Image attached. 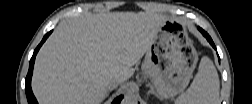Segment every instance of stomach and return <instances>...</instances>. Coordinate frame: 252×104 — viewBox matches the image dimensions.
I'll use <instances>...</instances> for the list:
<instances>
[{
    "instance_id": "obj_1",
    "label": "stomach",
    "mask_w": 252,
    "mask_h": 104,
    "mask_svg": "<svg viewBox=\"0 0 252 104\" xmlns=\"http://www.w3.org/2000/svg\"><path fill=\"white\" fill-rule=\"evenodd\" d=\"M197 61L186 28L167 19L146 52L142 72L151 78L161 98H171L185 90Z\"/></svg>"
}]
</instances>
